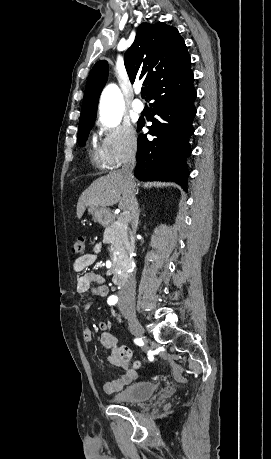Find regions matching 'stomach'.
Masks as SVG:
<instances>
[{"instance_id":"obj_1","label":"stomach","mask_w":271,"mask_h":459,"mask_svg":"<svg viewBox=\"0 0 271 459\" xmlns=\"http://www.w3.org/2000/svg\"><path fill=\"white\" fill-rule=\"evenodd\" d=\"M86 210L88 214L93 216V220H95V222H99V224H110L114 218L113 214H111L107 208H100V206H87Z\"/></svg>"}]
</instances>
